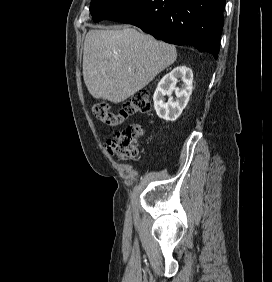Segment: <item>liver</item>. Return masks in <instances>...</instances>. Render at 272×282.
<instances>
[{"mask_svg":"<svg viewBox=\"0 0 272 282\" xmlns=\"http://www.w3.org/2000/svg\"><path fill=\"white\" fill-rule=\"evenodd\" d=\"M175 46L128 26L90 30L84 42L83 78L96 99L120 103L175 62Z\"/></svg>","mask_w":272,"mask_h":282,"instance_id":"obj_1","label":"liver"}]
</instances>
